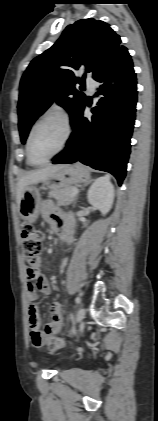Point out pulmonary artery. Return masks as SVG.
Returning <instances> with one entry per match:
<instances>
[{"label": "pulmonary artery", "instance_id": "1", "mask_svg": "<svg viewBox=\"0 0 158 421\" xmlns=\"http://www.w3.org/2000/svg\"><path fill=\"white\" fill-rule=\"evenodd\" d=\"M86 86H87L89 92L93 93L95 91V88H96L95 80H93L92 78H87L86 79Z\"/></svg>", "mask_w": 158, "mask_h": 421}]
</instances>
